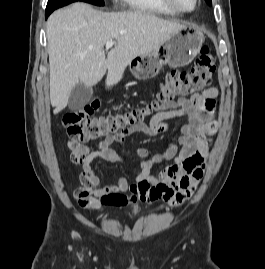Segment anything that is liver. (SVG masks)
I'll use <instances>...</instances> for the list:
<instances>
[{"instance_id":"6515ba94","label":"liver","mask_w":265,"mask_h":269,"mask_svg":"<svg viewBox=\"0 0 265 269\" xmlns=\"http://www.w3.org/2000/svg\"><path fill=\"white\" fill-rule=\"evenodd\" d=\"M184 27L146 12H103L81 2L55 11L46 27L53 113L67 106L77 83L91 87L108 71L106 86L117 84L135 57ZM110 40L116 45L106 57L104 45Z\"/></svg>"}]
</instances>
